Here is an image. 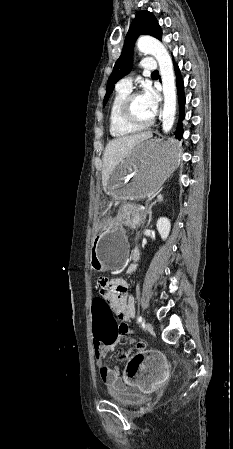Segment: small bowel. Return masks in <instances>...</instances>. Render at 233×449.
I'll list each match as a JSON object with an SVG mask.
<instances>
[{"label":"small bowel","mask_w":233,"mask_h":449,"mask_svg":"<svg viewBox=\"0 0 233 449\" xmlns=\"http://www.w3.org/2000/svg\"><path fill=\"white\" fill-rule=\"evenodd\" d=\"M136 268L137 258L132 256L128 273H134ZM97 290L102 291L103 297V299L97 301H109L113 312L122 322L120 326H117L118 339L125 336L129 343H133L134 339L131 337L133 330L125 323L135 316V301L133 296L127 292V281L118 278L117 274H99ZM115 345L116 343H111L110 349H95L94 340L92 343L101 380L107 386H117L125 382L118 369H111L106 365V355L114 349ZM164 361L165 356L161 354L160 347H149L148 354L145 355L143 361L144 368H137L136 375H128L127 383L137 384L138 390H157V384H160L161 380L160 377H166L170 370L169 363H164Z\"/></svg>","instance_id":"obj_1"}]
</instances>
